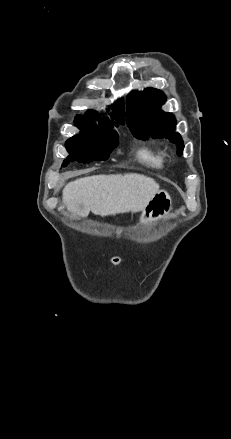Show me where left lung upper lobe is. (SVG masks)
Segmentation results:
<instances>
[{
    "mask_svg": "<svg viewBox=\"0 0 231 439\" xmlns=\"http://www.w3.org/2000/svg\"><path fill=\"white\" fill-rule=\"evenodd\" d=\"M166 97L158 89L147 88L143 92L129 95L127 101L126 121L135 137L141 139L165 138L178 147L177 154L182 155L183 140L179 133H174L175 117L160 109Z\"/></svg>",
    "mask_w": 231,
    "mask_h": 439,
    "instance_id": "left-lung-upper-lobe-1",
    "label": "left lung upper lobe"
}]
</instances>
